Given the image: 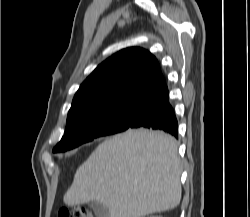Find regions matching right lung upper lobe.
<instances>
[{"mask_svg":"<svg viewBox=\"0 0 250 217\" xmlns=\"http://www.w3.org/2000/svg\"><path fill=\"white\" fill-rule=\"evenodd\" d=\"M157 59L142 48L123 49L101 63L76 92L67 120L116 105L140 103L165 86Z\"/></svg>","mask_w":250,"mask_h":217,"instance_id":"obj_1","label":"right lung upper lobe"}]
</instances>
